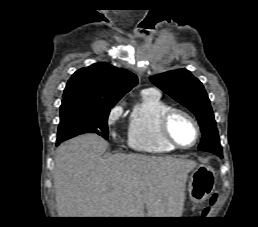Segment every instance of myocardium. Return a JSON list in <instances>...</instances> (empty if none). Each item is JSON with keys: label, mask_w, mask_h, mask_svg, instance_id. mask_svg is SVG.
Returning <instances> with one entry per match:
<instances>
[{"label": "myocardium", "mask_w": 258, "mask_h": 227, "mask_svg": "<svg viewBox=\"0 0 258 227\" xmlns=\"http://www.w3.org/2000/svg\"><path fill=\"white\" fill-rule=\"evenodd\" d=\"M175 115H182L193 124L196 132V137L192 144L188 146L181 145L172 136L170 131V122ZM159 131L163 140H165L167 143L178 149H189L194 147L198 143L201 134L200 126L197 120L190 113L179 108H169L161 115L159 119Z\"/></svg>", "instance_id": "obj_1"}]
</instances>
